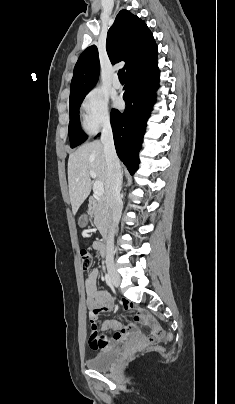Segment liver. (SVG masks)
Masks as SVG:
<instances>
[{
	"instance_id": "1",
	"label": "liver",
	"mask_w": 235,
	"mask_h": 404,
	"mask_svg": "<svg viewBox=\"0 0 235 404\" xmlns=\"http://www.w3.org/2000/svg\"><path fill=\"white\" fill-rule=\"evenodd\" d=\"M94 171L97 181L107 187L108 167L102 142L95 140L83 144L68 159V186L73 214L91 192L92 182L89 171Z\"/></svg>"
}]
</instances>
